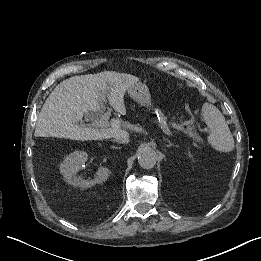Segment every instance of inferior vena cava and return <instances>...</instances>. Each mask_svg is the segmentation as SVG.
<instances>
[{
  "label": "inferior vena cava",
  "instance_id": "602c4592",
  "mask_svg": "<svg viewBox=\"0 0 261 261\" xmlns=\"http://www.w3.org/2000/svg\"><path fill=\"white\" fill-rule=\"evenodd\" d=\"M115 141L118 143H128L129 134L126 131H120V133L114 137Z\"/></svg>",
  "mask_w": 261,
  "mask_h": 261
}]
</instances>
